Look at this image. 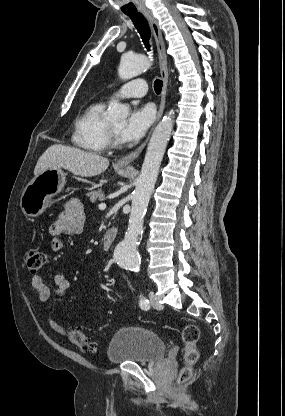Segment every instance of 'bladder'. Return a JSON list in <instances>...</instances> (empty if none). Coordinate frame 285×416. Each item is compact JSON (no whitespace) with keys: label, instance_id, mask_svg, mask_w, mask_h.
Segmentation results:
<instances>
[{"label":"bladder","instance_id":"1","mask_svg":"<svg viewBox=\"0 0 285 416\" xmlns=\"http://www.w3.org/2000/svg\"><path fill=\"white\" fill-rule=\"evenodd\" d=\"M167 343L152 329L142 326H125L117 329L108 346L109 362L153 363L166 355Z\"/></svg>","mask_w":285,"mask_h":416}]
</instances>
